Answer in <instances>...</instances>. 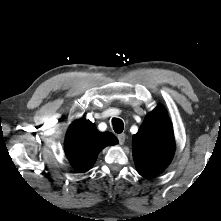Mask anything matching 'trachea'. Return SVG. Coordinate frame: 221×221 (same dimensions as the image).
Listing matches in <instances>:
<instances>
[{
    "label": "trachea",
    "mask_w": 221,
    "mask_h": 221,
    "mask_svg": "<svg viewBox=\"0 0 221 221\" xmlns=\"http://www.w3.org/2000/svg\"><path fill=\"white\" fill-rule=\"evenodd\" d=\"M112 125H113V129L116 133H122L123 129H124V124L123 121L119 118H113L112 119Z\"/></svg>",
    "instance_id": "obj_1"
}]
</instances>
